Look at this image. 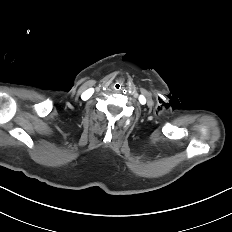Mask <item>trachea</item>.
Returning <instances> with one entry per match:
<instances>
[{"instance_id": "obj_1", "label": "trachea", "mask_w": 232, "mask_h": 232, "mask_svg": "<svg viewBox=\"0 0 232 232\" xmlns=\"http://www.w3.org/2000/svg\"><path fill=\"white\" fill-rule=\"evenodd\" d=\"M123 84L121 83V82H115L114 84H113V89L115 90V91H121L122 89H123Z\"/></svg>"}]
</instances>
